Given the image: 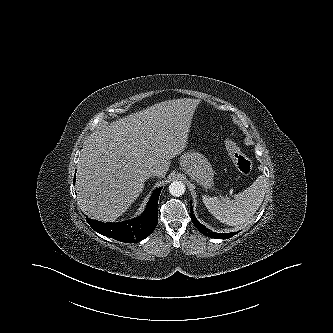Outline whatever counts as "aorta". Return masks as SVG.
<instances>
[{
	"label": "aorta",
	"instance_id": "obj_1",
	"mask_svg": "<svg viewBox=\"0 0 333 333\" xmlns=\"http://www.w3.org/2000/svg\"><path fill=\"white\" fill-rule=\"evenodd\" d=\"M186 187L181 181H173L169 185V192L172 196L179 197L184 194Z\"/></svg>",
	"mask_w": 333,
	"mask_h": 333
}]
</instances>
